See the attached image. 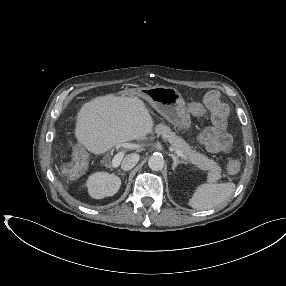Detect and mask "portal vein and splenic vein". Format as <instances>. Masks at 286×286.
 <instances>
[{"mask_svg":"<svg viewBox=\"0 0 286 286\" xmlns=\"http://www.w3.org/2000/svg\"><path fill=\"white\" fill-rule=\"evenodd\" d=\"M135 147H136V145H133V144L127 146L128 149H133V148H135ZM175 153H176L179 157L184 158V159H187V157H186L180 150H175ZM123 156H124V151L118 152V153L114 156V158H113V160H112V165H113V167H117V166L120 164V162H121Z\"/></svg>","mask_w":286,"mask_h":286,"instance_id":"1","label":"portal vein and splenic vein"}]
</instances>
